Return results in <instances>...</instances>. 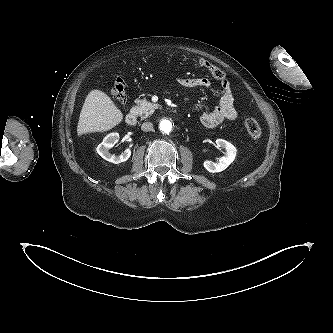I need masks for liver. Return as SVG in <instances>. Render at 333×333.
Instances as JSON below:
<instances>
[{
    "instance_id": "obj_1",
    "label": "liver",
    "mask_w": 333,
    "mask_h": 333,
    "mask_svg": "<svg viewBox=\"0 0 333 333\" xmlns=\"http://www.w3.org/2000/svg\"><path fill=\"white\" fill-rule=\"evenodd\" d=\"M123 120V113L112 99L100 90H92L87 95L80 112L78 136L91 132H104L114 128Z\"/></svg>"
}]
</instances>
